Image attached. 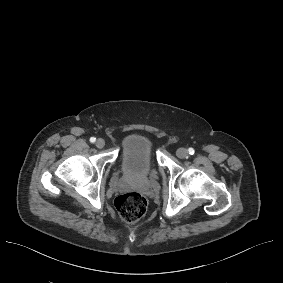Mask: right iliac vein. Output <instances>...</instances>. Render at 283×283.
I'll use <instances>...</instances> for the list:
<instances>
[{
    "instance_id": "right-iliac-vein-1",
    "label": "right iliac vein",
    "mask_w": 283,
    "mask_h": 283,
    "mask_svg": "<svg viewBox=\"0 0 283 283\" xmlns=\"http://www.w3.org/2000/svg\"><path fill=\"white\" fill-rule=\"evenodd\" d=\"M95 144H96L97 148H103L105 146V141L103 139L99 138V139H97Z\"/></svg>"
}]
</instances>
